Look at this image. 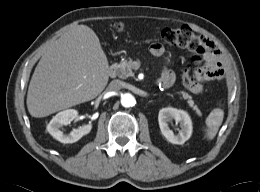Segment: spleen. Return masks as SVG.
I'll list each match as a JSON object with an SVG mask.
<instances>
[{
	"instance_id": "3e777b00",
	"label": "spleen",
	"mask_w": 260,
	"mask_h": 192,
	"mask_svg": "<svg viewBox=\"0 0 260 192\" xmlns=\"http://www.w3.org/2000/svg\"><path fill=\"white\" fill-rule=\"evenodd\" d=\"M224 118V111L221 108H215L210 112L206 118V129L205 138L207 140H212L220 128Z\"/></svg>"
}]
</instances>
